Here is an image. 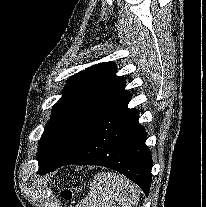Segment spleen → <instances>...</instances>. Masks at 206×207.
Returning a JSON list of instances; mask_svg holds the SVG:
<instances>
[{
    "label": "spleen",
    "instance_id": "obj_1",
    "mask_svg": "<svg viewBox=\"0 0 206 207\" xmlns=\"http://www.w3.org/2000/svg\"><path fill=\"white\" fill-rule=\"evenodd\" d=\"M139 190L122 175L101 172L94 176L88 195L77 207H136Z\"/></svg>",
    "mask_w": 206,
    "mask_h": 207
}]
</instances>
